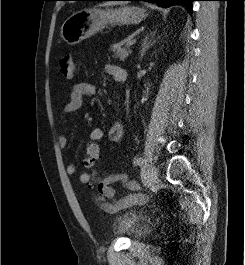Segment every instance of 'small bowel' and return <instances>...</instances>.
I'll return each mask as SVG.
<instances>
[{"mask_svg": "<svg viewBox=\"0 0 245 265\" xmlns=\"http://www.w3.org/2000/svg\"><path fill=\"white\" fill-rule=\"evenodd\" d=\"M105 71L116 82H123L126 79V71L120 66L114 64H107ZM95 86L89 82H78L71 87L69 100L64 105L61 111V119L64 120L68 114L76 112L81 108L86 98L95 94ZM103 130L101 128H93L90 132L89 138L91 143H98L103 138ZM123 135V125L120 122L115 123L109 131V138L113 142H118ZM58 142L61 148H66L68 140L65 135L60 134ZM66 173L69 176H74L77 173V167L73 163H69L66 167ZM82 184L86 185L91 190V183L97 184L98 193H93L95 203L105 212L115 213L123 210L131 205H141L146 203L147 198L141 192L140 184L130 179L124 173H112L103 177H96L94 174L84 172L79 176ZM120 183L125 189L130 191L125 197L118 199L116 192L112 185ZM107 199V200H106Z\"/></svg>", "mask_w": 245, "mask_h": 265, "instance_id": "obj_1", "label": "small bowel"}]
</instances>
